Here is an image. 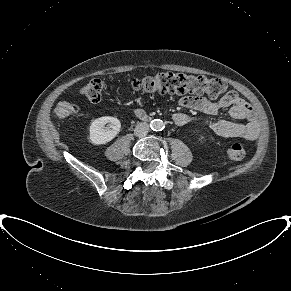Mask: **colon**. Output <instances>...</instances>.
I'll return each instance as SVG.
<instances>
[{"label":"colon","instance_id":"5ec220e1","mask_svg":"<svg viewBox=\"0 0 291 291\" xmlns=\"http://www.w3.org/2000/svg\"><path fill=\"white\" fill-rule=\"evenodd\" d=\"M130 86L135 91L151 95L206 93L211 98H217L226 90L225 83L218 78L173 71H164L143 78H134ZM106 87L107 85L103 80L92 79L81 86L79 93L91 102H99ZM76 111L75 104L63 101L57 105L54 113L57 118L65 119ZM226 155L230 160L240 161L246 156V150L242 144L235 143L226 150Z\"/></svg>","mask_w":291,"mask_h":291}]
</instances>
